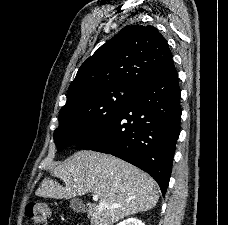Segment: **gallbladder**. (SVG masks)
I'll return each instance as SVG.
<instances>
[{
  "label": "gallbladder",
  "mask_w": 228,
  "mask_h": 225,
  "mask_svg": "<svg viewBox=\"0 0 228 225\" xmlns=\"http://www.w3.org/2000/svg\"><path fill=\"white\" fill-rule=\"evenodd\" d=\"M69 207L70 209H73L75 213H82V211H85V205L81 199H70Z\"/></svg>",
  "instance_id": "obj_1"
}]
</instances>
